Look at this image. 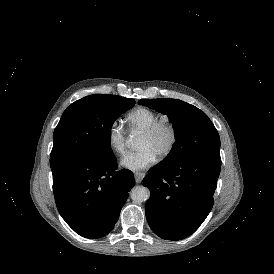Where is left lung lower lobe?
Here are the masks:
<instances>
[{
	"label": "left lung lower lobe",
	"instance_id": "left-lung-lower-lobe-1",
	"mask_svg": "<svg viewBox=\"0 0 274 274\" xmlns=\"http://www.w3.org/2000/svg\"><path fill=\"white\" fill-rule=\"evenodd\" d=\"M220 166V156L200 155L148 171L143 184L151 195L145 212L155 234L181 240L199 228L212 209Z\"/></svg>",
	"mask_w": 274,
	"mask_h": 274
}]
</instances>
